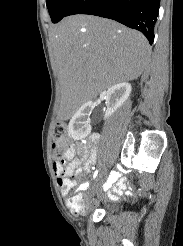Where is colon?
Listing matches in <instances>:
<instances>
[{
  "instance_id": "1",
  "label": "colon",
  "mask_w": 183,
  "mask_h": 246,
  "mask_svg": "<svg viewBox=\"0 0 183 246\" xmlns=\"http://www.w3.org/2000/svg\"><path fill=\"white\" fill-rule=\"evenodd\" d=\"M66 129L63 123H56L52 131V152L56 161L64 164L67 147L65 144ZM73 183V177L69 178ZM72 208L78 212H84L87 208L84 197L81 195L73 196L71 201Z\"/></svg>"
}]
</instances>
